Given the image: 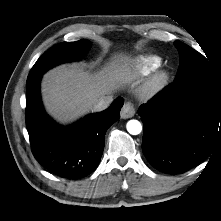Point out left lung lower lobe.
<instances>
[{
	"label": "left lung lower lobe",
	"mask_w": 221,
	"mask_h": 221,
	"mask_svg": "<svg viewBox=\"0 0 221 221\" xmlns=\"http://www.w3.org/2000/svg\"><path fill=\"white\" fill-rule=\"evenodd\" d=\"M138 114L144 124L142 150L166 174H182L208 157L221 141V91L189 79L173 82Z\"/></svg>",
	"instance_id": "obj_1"
}]
</instances>
